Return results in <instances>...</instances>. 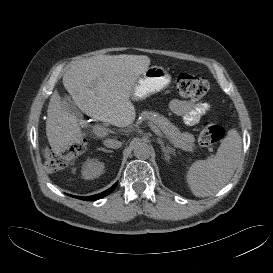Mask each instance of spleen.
Instances as JSON below:
<instances>
[{
    "label": "spleen",
    "instance_id": "1",
    "mask_svg": "<svg viewBox=\"0 0 273 273\" xmlns=\"http://www.w3.org/2000/svg\"><path fill=\"white\" fill-rule=\"evenodd\" d=\"M241 137L231 129L223 139L214 158L194 162L186 181L197 197H207L219 191L233 176L241 157Z\"/></svg>",
    "mask_w": 273,
    "mask_h": 273
}]
</instances>
